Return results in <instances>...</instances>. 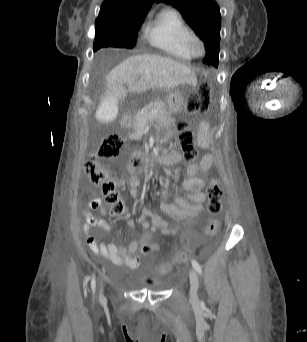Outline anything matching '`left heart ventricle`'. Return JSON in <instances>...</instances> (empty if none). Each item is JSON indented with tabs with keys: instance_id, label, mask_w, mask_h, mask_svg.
Instances as JSON below:
<instances>
[{
	"instance_id": "b2bd125f",
	"label": "left heart ventricle",
	"mask_w": 307,
	"mask_h": 342,
	"mask_svg": "<svg viewBox=\"0 0 307 342\" xmlns=\"http://www.w3.org/2000/svg\"><path fill=\"white\" fill-rule=\"evenodd\" d=\"M192 47L196 52H198L200 49V45L198 42H193Z\"/></svg>"
}]
</instances>
